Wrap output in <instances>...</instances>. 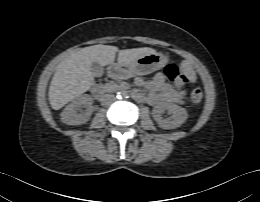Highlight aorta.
<instances>
[{"label": "aorta", "mask_w": 260, "mask_h": 202, "mask_svg": "<svg viewBox=\"0 0 260 202\" xmlns=\"http://www.w3.org/2000/svg\"><path fill=\"white\" fill-rule=\"evenodd\" d=\"M128 95H129L128 92L125 91V90H123V91L118 92L117 97H118L119 99L128 98Z\"/></svg>", "instance_id": "762f6f07"}]
</instances>
